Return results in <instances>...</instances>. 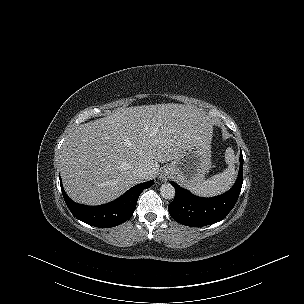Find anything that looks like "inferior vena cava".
Here are the masks:
<instances>
[{
  "label": "inferior vena cava",
  "instance_id": "inferior-vena-cava-1",
  "mask_svg": "<svg viewBox=\"0 0 304 304\" xmlns=\"http://www.w3.org/2000/svg\"><path fill=\"white\" fill-rule=\"evenodd\" d=\"M135 174L140 180H147L149 178V172L145 168H137Z\"/></svg>",
  "mask_w": 304,
  "mask_h": 304
}]
</instances>
